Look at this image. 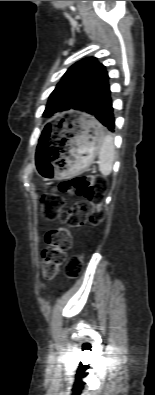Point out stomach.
<instances>
[{
  "mask_svg": "<svg viewBox=\"0 0 155 395\" xmlns=\"http://www.w3.org/2000/svg\"><path fill=\"white\" fill-rule=\"evenodd\" d=\"M71 125L63 136L64 144L57 157L48 162H38L37 172L45 180L78 175L89 167L99 153L104 137L100 123L86 113H79Z\"/></svg>",
  "mask_w": 155,
  "mask_h": 395,
  "instance_id": "stomach-1",
  "label": "stomach"
}]
</instances>
